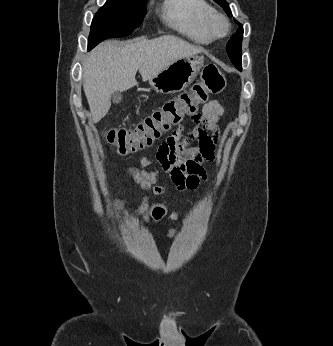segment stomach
<instances>
[{
	"instance_id": "1",
	"label": "stomach",
	"mask_w": 333,
	"mask_h": 346,
	"mask_svg": "<svg viewBox=\"0 0 333 346\" xmlns=\"http://www.w3.org/2000/svg\"><path fill=\"white\" fill-rule=\"evenodd\" d=\"M204 64V57L192 55L172 63L149 79L150 86L159 93L173 94L188 87Z\"/></svg>"
}]
</instances>
